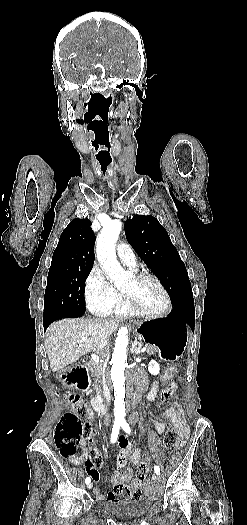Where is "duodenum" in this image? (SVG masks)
Instances as JSON below:
<instances>
[{
    "label": "duodenum",
    "mask_w": 247,
    "mask_h": 525,
    "mask_svg": "<svg viewBox=\"0 0 247 525\" xmlns=\"http://www.w3.org/2000/svg\"><path fill=\"white\" fill-rule=\"evenodd\" d=\"M86 368L87 363L85 361H77L71 369L67 370L64 373L63 380L73 388L85 389L88 385V376ZM90 402L92 408L97 413L104 414L108 411V404L104 397H93Z\"/></svg>",
    "instance_id": "1"
}]
</instances>
